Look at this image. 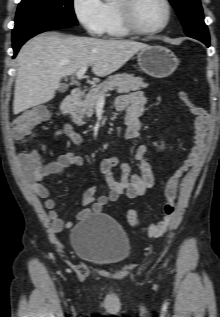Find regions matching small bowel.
Masks as SVG:
<instances>
[{
    "label": "small bowel",
    "mask_w": 220,
    "mask_h": 317,
    "mask_svg": "<svg viewBox=\"0 0 220 317\" xmlns=\"http://www.w3.org/2000/svg\"><path fill=\"white\" fill-rule=\"evenodd\" d=\"M149 99L140 91H134L122 95L117 100V108L126 112L125 116V137L129 140L135 139L140 132V116L144 111V106ZM58 136H66L74 145L82 144V136L76 132L70 124H64L58 132ZM148 149L145 145H138L134 150V160L138 169L137 173H132L131 168L126 163H119L116 157H107L100 161V170L105 176L109 186L107 194L95 196V187L88 188L81 195V202L88 208L81 211L77 219H83L90 214L100 213L104 206L112 201H116L121 196L136 198L143 196L154 185V173L151 164L147 159ZM36 154V153H35ZM38 155V154H37ZM19 162L26 172L27 183L31 190L44 200V207L48 211L51 227L54 231H60L72 225V222H65L56 210L55 201L50 198L49 189L42 183V179L48 175L59 174L68 167H79L83 163L80 155L64 151L56 161L42 164L36 169L26 162V154L19 155ZM119 165L121 170L120 179H116L113 173L115 166Z\"/></svg>",
    "instance_id": "small-bowel-1"
}]
</instances>
